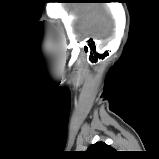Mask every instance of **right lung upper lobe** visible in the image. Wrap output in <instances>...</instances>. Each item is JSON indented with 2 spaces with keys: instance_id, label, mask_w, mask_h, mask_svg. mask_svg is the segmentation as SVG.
<instances>
[{
  "instance_id": "right-lung-upper-lobe-1",
  "label": "right lung upper lobe",
  "mask_w": 159,
  "mask_h": 159,
  "mask_svg": "<svg viewBox=\"0 0 159 159\" xmlns=\"http://www.w3.org/2000/svg\"><path fill=\"white\" fill-rule=\"evenodd\" d=\"M87 152L89 155L94 156L95 159H105L108 153L114 152V149L104 142H97L89 146Z\"/></svg>"
}]
</instances>
